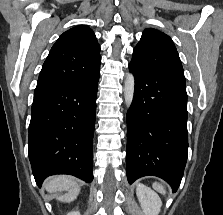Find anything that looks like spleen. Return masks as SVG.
Instances as JSON below:
<instances>
[{
    "label": "spleen",
    "mask_w": 223,
    "mask_h": 215,
    "mask_svg": "<svg viewBox=\"0 0 223 215\" xmlns=\"http://www.w3.org/2000/svg\"><path fill=\"white\" fill-rule=\"evenodd\" d=\"M153 187L154 189H157V191H160V193H166V189L162 183H157V181H155V183H153Z\"/></svg>",
    "instance_id": "3e777b00"
}]
</instances>
